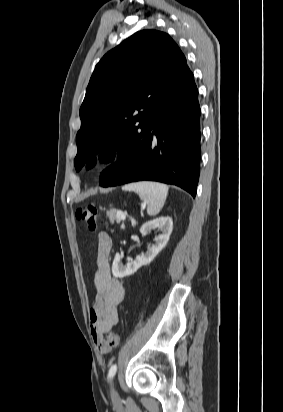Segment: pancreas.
I'll return each instance as SVG.
<instances>
[{"label": "pancreas", "instance_id": "1", "mask_svg": "<svg viewBox=\"0 0 283 412\" xmlns=\"http://www.w3.org/2000/svg\"><path fill=\"white\" fill-rule=\"evenodd\" d=\"M107 217L109 218V221L111 224H114L116 221L117 223H120V219L117 217V210H110L107 212Z\"/></svg>", "mask_w": 283, "mask_h": 412}]
</instances>
